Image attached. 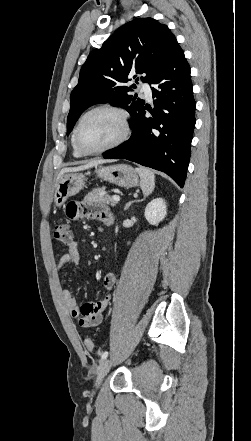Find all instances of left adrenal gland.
I'll return each mask as SVG.
<instances>
[{
	"label": "left adrenal gland",
	"instance_id": "a2214340",
	"mask_svg": "<svg viewBox=\"0 0 251 441\" xmlns=\"http://www.w3.org/2000/svg\"><path fill=\"white\" fill-rule=\"evenodd\" d=\"M134 202H138V200H134V201H130V202H128V203L126 204L124 210H128L129 207H130Z\"/></svg>",
	"mask_w": 251,
	"mask_h": 441
}]
</instances>
